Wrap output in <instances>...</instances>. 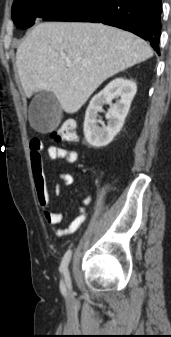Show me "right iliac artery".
Segmentation results:
<instances>
[{"mask_svg": "<svg viewBox=\"0 0 171 337\" xmlns=\"http://www.w3.org/2000/svg\"><path fill=\"white\" fill-rule=\"evenodd\" d=\"M71 255H72V251L68 250L65 253V255L62 259L61 265H60V271L63 272V274L65 276L66 283H67L68 286L71 285L70 275H69V271H68V264L70 262Z\"/></svg>", "mask_w": 171, "mask_h": 337, "instance_id": "82829eb1", "label": "right iliac artery"}]
</instances>
